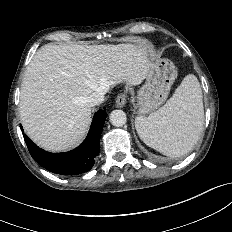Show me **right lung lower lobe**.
<instances>
[{
	"mask_svg": "<svg viewBox=\"0 0 232 232\" xmlns=\"http://www.w3.org/2000/svg\"><path fill=\"white\" fill-rule=\"evenodd\" d=\"M106 116L105 109L96 112L86 139L80 146L69 152L49 153L44 151L23 133L24 140L32 158L48 171L60 175H77L88 172L100 152V137ZM22 132H24L23 129Z\"/></svg>",
	"mask_w": 232,
	"mask_h": 232,
	"instance_id": "right-lung-lower-lobe-1",
	"label": "right lung lower lobe"
}]
</instances>
